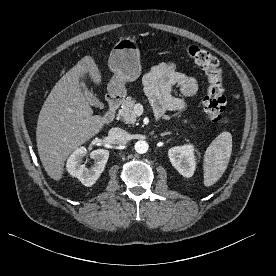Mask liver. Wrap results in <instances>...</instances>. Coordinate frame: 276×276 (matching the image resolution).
<instances>
[{"label":"liver","mask_w":276,"mask_h":276,"mask_svg":"<svg viewBox=\"0 0 276 276\" xmlns=\"http://www.w3.org/2000/svg\"><path fill=\"white\" fill-rule=\"evenodd\" d=\"M89 74L95 84L101 73L91 56L83 57L53 87L37 121L36 141L40 160L54 180L62 178L67 157L103 128L106 120L93 115L80 78Z\"/></svg>","instance_id":"liver-1"}]
</instances>
